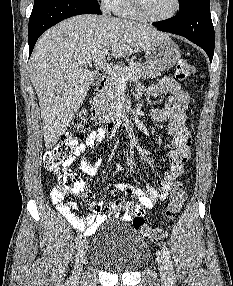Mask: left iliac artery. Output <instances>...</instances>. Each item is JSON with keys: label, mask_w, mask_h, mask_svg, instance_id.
<instances>
[{"label": "left iliac artery", "mask_w": 233, "mask_h": 286, "mask_svg": "<svg viewBox=\"0 0 233 286\" xmlns=\"http://www.w3.org/2000/svg\"><path fill=\"white\" fill-rule=\"evenodd\" d=\"M160 248H161V250L163 252V255L165 256L166 261L168 263V268L170 270V277H171L172 280H174L175 279V275H174V271H173V264H172L170 252L167 249L165 243H163V242L160 243Z\"/></svg>", "instance_id": "left-iliac-artery-1"}]
</instances>
